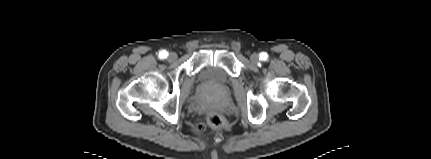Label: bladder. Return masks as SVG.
<instances>
[{"instance_id":"1","label":"bladder","mask_w":431,"mask_h":159,"mask_svg":"<svg viewBox=\"0 0 431 159\" xmlns=\"http://www.w3.org/2000/svg\"><path fill=\"white\" fill-rule=\"evenodd\" d=\"M198 79L207 87L220 89L228 85L230 77L222 66L210 63L201 68Z\"/></svg>"}]
</instances>
